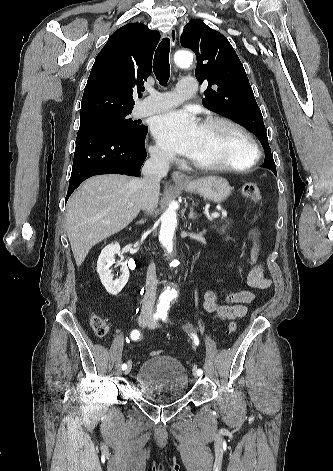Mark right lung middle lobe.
<instances>
[{
    "label": "right lung middle lobe",
    "instance_id": "obj_1",
    "mask_svg": "<svg viewBox=\"0 0 333 471\" xmlns=\"http://www.w3.org/2000/svg\"><path fill=\"white\" fill-rule=\"evenodd\" d=\"M131 111L102 114L90 118L80 119L79 131L109 129L132 137L141 136L146 126L138 125L129 118Z\"/></svg>",
    "mask_w": 333,
    "mask_h": 471
}]
</instances>
